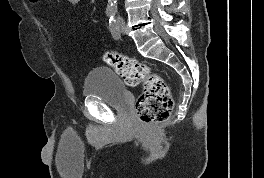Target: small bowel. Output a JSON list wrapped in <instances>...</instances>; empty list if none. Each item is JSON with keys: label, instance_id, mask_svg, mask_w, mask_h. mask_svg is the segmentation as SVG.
<instances>
[{"label": "small bowel", "instance_id": "1", "mask_svg": "<svg viewBox=\"0 0 264 178\" xmlns=\"http://www.w3.org/2000/svg\"><path fill=\"white\" fill-rule=\"evenodd\" d=\"M32 3H36L38 0H30ZM69 2L70 5L76 7V6H79L82 2V0H67Z\"/></svg>", "mask_w": 264, "mask_h": 178}]
</instances>
